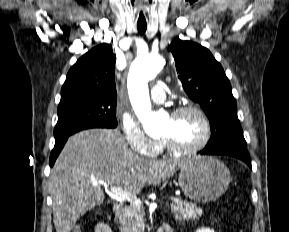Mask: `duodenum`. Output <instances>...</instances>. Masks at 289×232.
I'll list each match as a JSON object with an SVG mask.
<instances>
[{"label":"duodenum","mask_w":289,"mask_h":232,"mask_svg":"<svg viewBox=\"0 0 289 232\" xmlns=\"http://www.w3.org/2000/svg\"><path fill=\"white\" fill-rule=\"evenodd\" d=\"M123 210H124V207L122 204L120 203L115 204L113 207L115 217L120 218L123 213ZM157 232H172V230L168 226H162L158 229Z\"/></svg>","instance_id":"410a0bca"}]
</instances>
